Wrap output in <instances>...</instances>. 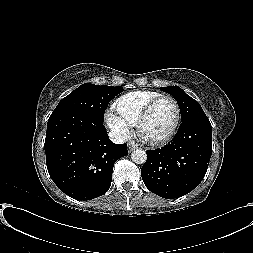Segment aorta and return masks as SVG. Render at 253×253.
Wrapping results in <instances>:
<instances>
[{"mask_svg": "<svg viewBox=\"0 0 253 253\" xmlns=\"http://www.w3.org/2000/svg\"><path fill=\"white\" fill-rule=\"evenodd\" d=\"M131 159L136 164H144L147 160V154L142 149H136L131 153Z\"/></svg>", "mask_w": 253, "mask_h": 253, "instance_id": "762f6f07", "label": "aorta"}]
</instances>
